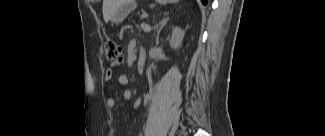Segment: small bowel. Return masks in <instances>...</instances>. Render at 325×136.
I'll return each mask as SVG.
<instances>
[{"instance_id":"small-bowel-1","label":"small bowel","mask_w":325,"mask_h":136,"mask_svg":"<svg viewBox=\"0 0 325 136\" xmlns=\"http://www.w3.org/2000/svg\"><path fill=\"white\" fill-rule=\"evenodd\" d=\"M118 65H120V62H114V63H112V67H116V66H118ZM113 76H114V72H113V69H112V68L107 69V70L105 71V73H104V79H105V81H107V82L111 81L112 78H113ZM118 83H119L121 86H126V85H128V83H129V77H128L126 74H121V75H119V76H118ZM122 97H123L124 100L129 101V100L132 99V97H133V93H132V91H131L130 89H125V90L123 91V93H122ZM116 103H117V101H116V98H115V97H113V96H108V97L106 98V105H107V107H109V108H113V107L116 106ZM141 103H142L141 99H140V98H137V99L133 102V107H134V108H138V107L141 106Z\"/></svg>"}]
</instances>
